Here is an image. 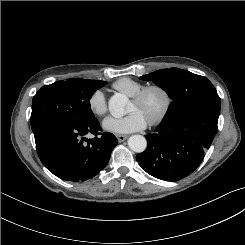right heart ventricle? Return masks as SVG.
<instances>
[{
    "instance_id": "obj_1",
    "label": "right heart ventricle",
    "mask_w": 245,
    "mask_h": 245,
    "mask_svg": "<svg viewBox=\"0 0 245 245\" xmlns=\"http://www.w3.org/2000/svg\"><path fill=\"white\" fill-rule=\"evenodd\" d=\"M113 88L119 92H122L129 97L138 93L145 85L135 79L129 77H122L113 83Z\"/></svg>"
}]
</instances>
